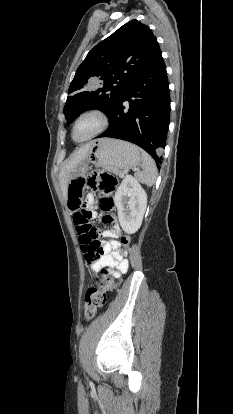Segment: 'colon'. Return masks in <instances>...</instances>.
Wrapping results in <instances>:
<instances>
[{
    "mask_svg": "<svg viewBox=\"0 0 233 414\" xmlns=\"http://www.w3.org/2000/svg\"><path fill=\"white\" fill-rule=\"evenodd\" d=\"M117 184L116 177L103 170L95 171L88 180L89 187L101 194L100 207L105 214L104 216L109 215V212L113 209L114 203L111 194L116 189ZM90 218L91 211L87 207L81 208L74 215V222L80 234L81 246L86 253L85 258L89 264L95 262L104 253L103 243L99 239V232L90 226ZM130 241L129 235L121 237L120 244L122 248L118 252L120 257L126 256V249ZM114 286L110 270L104 267L96 270L94 283L88 287L85 295L84 314L86 319H92L97 311L104 306Z\"/></svg>",
    "mask_w": 233,
    "mask_h": 414,
    "instance_id": "colon-1",
    "label": "colon"
}]
</instances>
